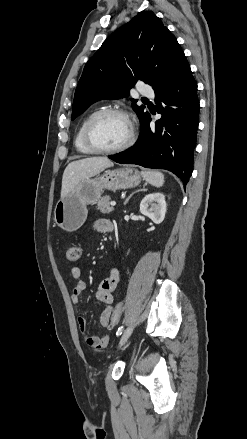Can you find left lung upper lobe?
I'll return each instance as SVG.
<instances>
[{"instance_id": "5c2ea615", "label": "left lung upper lobe", "mask_w": 247, "mask_h": 439, "mask_svg": "<svg viewBox=\"0 0 247 439\" xmlns=\"http://www.w3.org/2000/svg\"><path fill=\"white\" fill-rule=\"evenodd\" d=\"M186 59L175 36L153 12L139 13L104 41L86 63L75 91L72 117L102 99L128 96L142 80L155 90ZM140 122L148 112L131 99Z\"/></svg>"}]
</instances>
